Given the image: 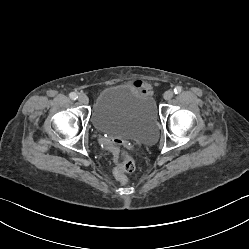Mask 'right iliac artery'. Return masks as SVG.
Wrapping results in <instances>:
<instances>
[{
  "instance_id": "obj_1",
  "label": "right iliac artery",
  "mask_w": 249,
  "mask_h": 249,
  "mask_svg": "<svg viewBox=\"0 0 249 249\" xmlns=\"http://www.w3.org/2000/svg\"><path fill=\"white\" fill-rule=\"evenodd\" d=\"M69 97L72 99V100H76L78 98V95L75 93V92H71L69 94Z\"/></svg>"
}]
</instances>
